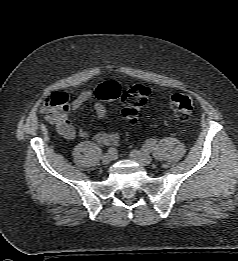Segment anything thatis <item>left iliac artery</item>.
Instances as JSON below:
<instances>
[{
  "label": "left iliac artery",
  "mask_w": 238,
  "mask_h": 261,
  "mask_svg": "<svg viewBox=\"0 0 238 261\" xmlns=\"http://www.w3.org/2000/svg\"><path fill=\"white\" fill-rule=\"evenodd\" d=\"M156 143H157V139H150L148 140L144 146H143V150L144 151H150L152 150L155 146H156Z\"/></svg>",
  "instance_id": "1"
}]
</instances>
